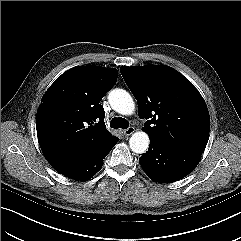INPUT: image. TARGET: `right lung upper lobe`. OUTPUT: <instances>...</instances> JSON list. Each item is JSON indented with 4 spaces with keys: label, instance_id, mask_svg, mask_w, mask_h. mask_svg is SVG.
<instances>
[{
    "label": "right lung upper lobe",
    "instance_id": "obj_1",
    "mask_svg": "<svg viewBox=\"0 0 241 241\" xmlns=\"http://www.w3.org/2000/svg\"><path fill=\"white\" fill-rule=\"evenodd\" d=\"M117 77L115 68L74 67L42 97L36 116L38 140L57 171L89 160L117 139L107 131L99 104Z\"/></svg>",
    "mask_w": 241,
    "mask_h": 241
}]
</instances>
